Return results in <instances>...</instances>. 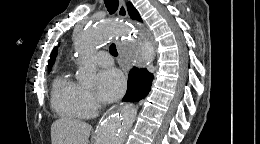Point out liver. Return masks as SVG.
Segmentation results:
<instances>
[{
	"instance_id": "1",
	"label": "liver",
	"mask_w": 260,
	"mask_h": 144,
	"mask_svg": "<svg viewBox=\"0 0 260 144\" xmlns=\"http://www.w3.org/2000/svg\"><path fill=\"white\" fill-rule=\"evenodd\" d=\"M91 126L81 120L60 118L51 125L52 144H88Z\"/></svg>"
}]
</instances>
